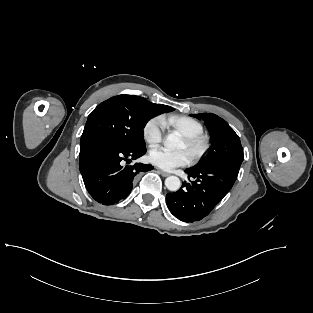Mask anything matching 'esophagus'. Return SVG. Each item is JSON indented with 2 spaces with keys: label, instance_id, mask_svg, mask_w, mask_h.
I'll use <instances>...</instances> for the list:
<instances>
[{
  "label": "esophagus",
  "instance_id": "obj_1",
  "mask_svg": "<svg viewBox=\"0 0 313 313\" xmlns=\"http://www.w3.org/2000/svg\"><path fill=\"white\" fill-rule=\"evenodd\" d=\"M157 172L159 173V174H161L163 177H167V176H169L170 174L169 173H167V172H164V171H162V170H157Z\"/></svg>",
  "mask_w": 313,
  "mask_h": 313
}]
</instances>
